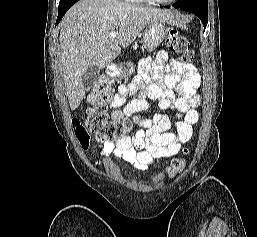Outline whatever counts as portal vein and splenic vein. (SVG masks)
Here are the masks:
<instances>
[{"label": "portal vein and splenic vein", "instance_id": "obj_1", "mask_svg": "<svg viewBox=\"0 0 257 237\" xmlns=\"http://www.w3.org/2000/svg\"><path fill=\"white\" fill-rule=\"evenodd\" d=\"M117 37V32L116 31H112L109 33V38L114 40Z\"/></svg>", "mask_w": 257, "mask_h": 237}]
</instances>
